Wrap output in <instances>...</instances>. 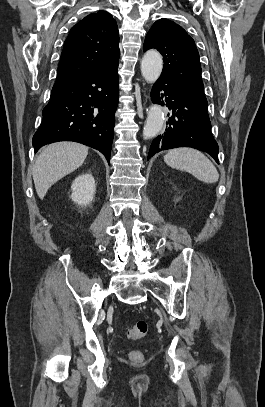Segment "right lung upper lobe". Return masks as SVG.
Masks as SVG:
<instances>
[{"label":"right lung upper lobe","instance_id":"right-lung-upper-lobe-1","mask_svg":"<svg viewBox=\"0 0 265 407\" xmlns=\"http://www.w3.org/2000/svg\"><path fill=\"white\" fill-rule=\"evenodd\" d=\"M119 32L106 11L92 13L74 25L64 42L53 88L73 83L118 62Z\"/></svg>","mask_w":265,"mask_h":407}]
</instances>
